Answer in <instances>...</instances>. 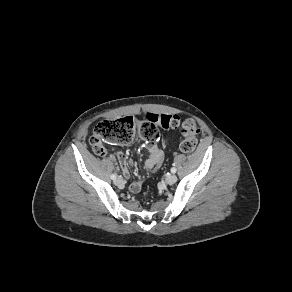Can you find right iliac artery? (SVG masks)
Listing matches in <instances>:
<instances>
[{
  "mask_svg": "<svg viewBox=\"0 0 292 292\" xmlns=\"http://www.w3.org/2000/svg\"><path fill=\"white\" fill-rule=\"evenodd\" d=\"M111 179L115 180L116 179V175L115 174H112L111 175Z\"/></svg>",
  "mask_w": 292,
  "mask_h": 292,
  "instance_id": "1",
  "label": "right iliac artery"
}]
</instances>
